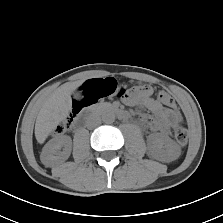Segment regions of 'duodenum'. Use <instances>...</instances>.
I'll use <instances>...</instances> for the list:
<instances>
[{"mask_svg":"<svg viewBox=\"0 0 223 223\" xmlns=\"http://www.w3.org/2000/svg\"><path fill=\"white\" fill-rule=\"evenodd\" d=\"M101 109L112 110L122 119L128 118L127 113L124 110H122L121 108H119L117 105H105V106H102ZM91 115L92 114H89L86 117L78 119L76 122V127L77 128L82 127L87 121H89Z\"/></svg>","mask_w":223,"mask_h":223,"instance_id":"1","label":"duodenum"}]
</instances>
